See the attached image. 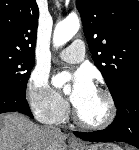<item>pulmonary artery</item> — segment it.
Listing matches in <instances>:
<instances>
[{
  "instance_id": "pulmonary-artery-1",
  "label": "pulmonary artery",
  "mask_w": 139,
  "mask_h": 150,
  "mask_svg": "<svg viewBox=\"0 0 139 150\" xmlns=\"http://www.w3.org/2000/svg\"><path fill=\"white\" fill-rule=\"evenodd\" d=\"M85 45L82 40H75L59 53V57L69 63H79L84 59Z\"/></svg>"
}]
</instances>
